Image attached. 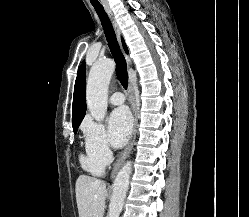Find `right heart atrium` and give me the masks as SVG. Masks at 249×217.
I'll return each instance as SVG.
<instances>
[{"mask_svg": "<svg viewBox=\"0 0 249 217\" xmlns=\"http://www.w3.org/2000/svg\"><path fill=\"white\" fill-rule=\"evenodd\" d=\"M83 132L87 154L103 166L109 164L112 160V150L105 126L87 118L83 123Z\"/></svg>", "mask_w": 249, "mask_h": 217, "instance_id": "d8ad5b80", "label": "right heart atrium"}]
</instances>
